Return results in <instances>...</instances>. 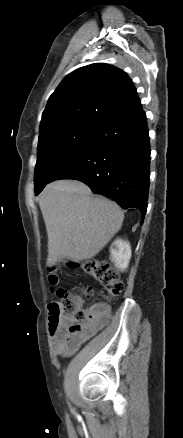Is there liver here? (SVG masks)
Segmentation results:
<instances>
[{
  "label": "liver",
  "mask_w": 183,
  "mask_h": 438,
  "mask_svg": "<svg viewBox=\"0 0 183 438\" xmlns=\"http://www.w3.org/2000/svg\"><path fill=\"white\" fill-rule=\"evenodd\" d=\"M48 235L47 266L96 256L121 229L124 213L115 202L92 195L77 180L48 184L39 197Z\"/></svg>",
  "instance_id": "1"
}]
</instances>
